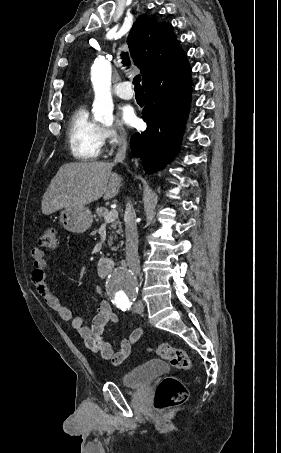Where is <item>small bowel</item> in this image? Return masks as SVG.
<instances>
[{"label":"small bowel","mask_w":281,"mask_h":453,"mask_svg":"<svg viewBox=\"0 0 281 453\" xmlns=\"http://www.w3.org/2000/svg\"><path fill=\"white\" fill-rule=\"evenodd\" d=\"M31 258L33 266L30 271V279L36 286L38 295L63 320L68 321L78 331L89 350L100 354L103 359L110 361L113 366H120L130 355L132 345L138 342L143 335V331L137 329L129 338L119 339L115 344L108 342L102 336L103 330L107 324H115L117 322L111 303L106 299H102L98 304L97 315L94 317L91 326L85 325L82 318L63 305L49 287L46 277L47 257L44 251L33 249ZM94 290L98 294L101 293L99 286H95ZM115 346L118 348L117 351L114 350Z\"/></svg>","instance_id":"1"}]
</instances>
